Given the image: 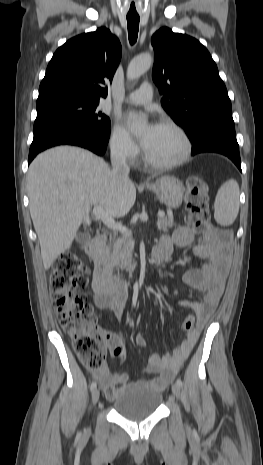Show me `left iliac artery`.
I'll return each instance as SVG.
<instances>
[{
    "instance_id": "obj_1",
    "label": "left iliac artery",
    "mask_w": 263,
    "mask_h": 465,
    "mask_svg": "<svg viewBox=\"0 0 263 465\" xmlns=\"http://www.w3.org/2000/svg\"><path fill=\"white\" fill-rule=\"evenodd\" d=\"M176 383L178 384L179 387H182V385H183L181 379H177Z\"/></svg>"
}]
</instances>
